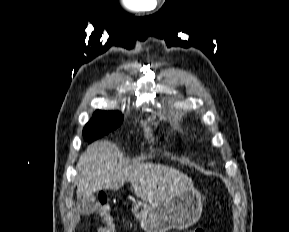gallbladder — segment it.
<instances>
[{
  "label": "gallbladder",
  "instance_id": "gallbladder-1",
  "mask_svg": "<svg viewBox=\"0 0 289 232\" xmlns=\"http://www.w3.org/2000/svg\"><path fill=\"white\" fill-rule=\"evenodd\" d=\"M95 197L94 196H89V197H80L78 199V204L80 207V211L82 214L85 215H90L93 213L96 209V202H95Z\"/></svg>",
  "mask_w": 289,
  "mask_h": 232
}]
</instances>
